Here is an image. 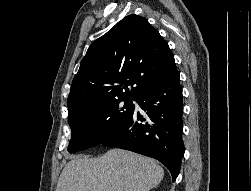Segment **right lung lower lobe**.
<instances>
[{
    "label": "right lung lower lobe",
    "instance_id": "obj_1",
    "mask_svg": "<svg viewBox=\"0 0 251 191\" xmlns=\"http://www.w3.org/2000/svg\"><path fill=\"white\" fill-rule=\"evenodd\" d=\"M134 100L145 114L134 111L128 120L101 144L155 158L169 169L175 181L185 151L179 72L165 83L145 90Z\"/></svg>",
    "mask_w": 251,
    "mask_h": 191
}]
</instances>
